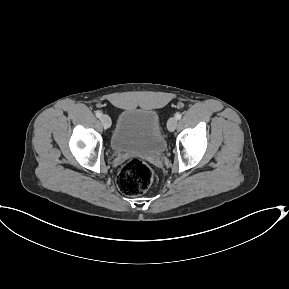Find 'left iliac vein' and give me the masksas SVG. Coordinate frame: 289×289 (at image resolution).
<instances>
[{
    "mask_svg": "<svg viewBox=\"0 0 289 289\" xmlns=\"http://www.w3.org/2000/svg\"><path fill=\"white\" fill-rule=\"evenodd\" d=\"M177 127V119L175 117H171L168 120L167 128L170 132H173Z\"/></svg>",
    "mask_w": 289,
    "mask_h": 289,
    "instance_id": "4c4485c4",
    "label": "left iliac vein"
}]
</instances>
